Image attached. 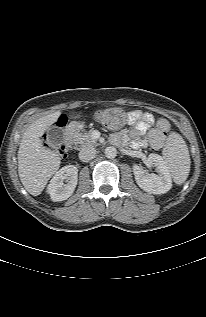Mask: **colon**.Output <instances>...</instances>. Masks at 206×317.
<instances>
[{
    "label": "colon",
    "mask_w": 206,
    "mask_h": 317,
    "mask_svg": "<svg viewBox=\"0 0 206 317\" xmlns=\"http://www.w3.org/2000/svg\"><path fill=\"white\" fill-rule=\"evenodd\" d=\"M97 118L107 128L120 129L129 121V114L121 108H108L100 111ZM60 153H66L64 147H61Z\"/></svg>",
    "instance_id": "1"
}]
</instances>
